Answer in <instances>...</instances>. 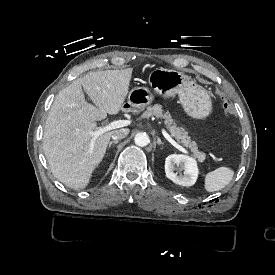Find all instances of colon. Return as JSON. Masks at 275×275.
Masks as SVG:
<instances>
[{
    "mask_svg": "<svg viewBox=\"0 0 275 275\" xmlns=\"http://www.w3.org/2000/svg\"><path fill=\"white\" fill-rule=\"evenodd\" d=\"M222 105H223V108L226 111V114L230 118H232L234 116V114H235V109L232 107V103L230 101L222 99Z\"/></svg>",
    "mask_w": 275,
    "mask_h": 275,
    "instance_id": "obj_1",
    "label": "colon"
}]
</instances>
